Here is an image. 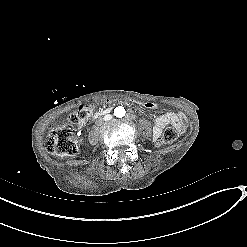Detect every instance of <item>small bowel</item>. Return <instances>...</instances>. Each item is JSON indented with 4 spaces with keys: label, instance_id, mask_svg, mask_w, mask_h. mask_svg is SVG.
<instances>
[{
    "label": "small bowel",
    "instance_id": "1",
    "mask_svg": "<svg viewBox=\"0 0 247 247\" xmlns=\"http://www.w3.org/2000/svg\"><path fill=\"white\" fill-rule=\"evenodd\" d=\"M184 116L182 113L166 112L154 119V137L159 138L163 129L168 125H183Z\"/></svg>",
    "mask_w": 247,
    "mask_h": 247
}]
</instances>
